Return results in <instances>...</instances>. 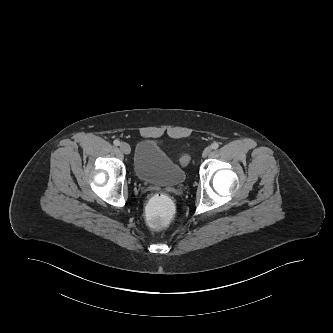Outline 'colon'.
I'll list each match as a JSON object with an SVG mask.
<instances>
[{
	"label": "colon",
	"instance_id": "1",
	"mask_svg": "<svg viewBox=\"0 0 333 333\" xmlns=\"http://www.w3.org/2000/svg\"><path fill=\"white\" fill-rule=\"evenodd\" d=\"M188 156L182 157L183 163L187 162ZM174 205L172 199L164 193H157L148 202L144 215L147 224L156 230L167 229L174 218Z\"/></svg>",
	"mask_w": 333,
	"mask_h": 333
}]
</instances>
